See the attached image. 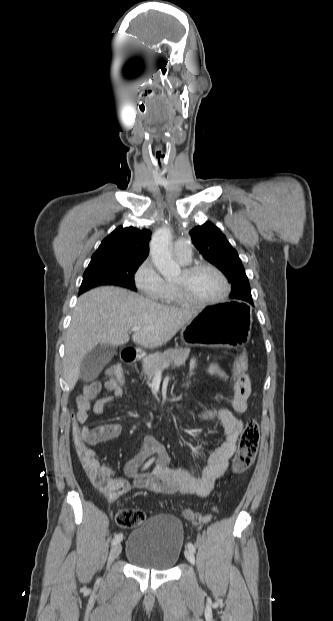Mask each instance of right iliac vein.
Segmentation results:
<instances>
[{
  "label": "right iliac vein",
  "mask_w": 333,
  "mask_h": 621,
  "mask_svg": "<svg viewBox=\"0 0 333 621\" xmlns=\"http://www.w3.org/2000/svg\"><path fill=\"white\" fill-rule=\"evenodd\" d=\"M122 546L120 543L114 545L109 553L108 566L120 555Z\"/></svg>",
  "instance_id": "63e3f726"
}]
</instances>
